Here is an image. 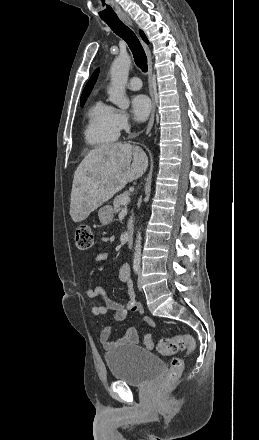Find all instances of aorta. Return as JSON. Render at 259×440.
I'll list each match as a JSON object with an SVG mask.
<instances>
[{"label":"aorta","instance_id":"aorta-1","mask_svg":"<svg viewBox=\"0 0 259 440\" xmlns=\"http://www.w3.org/2000/svg\"><path fill=\"white\" fill-rule=\"evenodd\" d=\"M131 59L128 54L117 56L110 69L111 85L108 90L110 101L122 110L129 107V99L125 94L128 81ZM141 257V232L138 231L135 244L134 261L139 262Z\"/></svg>","mask_w":259,"mask_h":440}]
</instances>
